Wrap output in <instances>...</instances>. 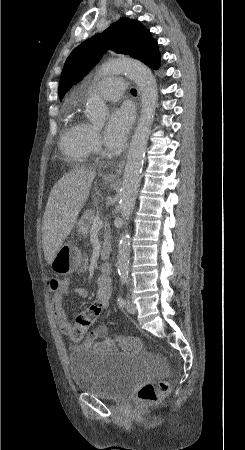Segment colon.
Instances as JSON below:
<instances>
[{
	"instance_id": "5ec220e1",
	"label": "colon",
	"mask_w": 245,
	"mask_h": 450,
	"mask_svg": "<svg viewBox=\"0 0 245 450\" xmlns=\"http://www.w3.org/2000/svg\"><path fill=\"white\" fill-rule=\"evenodd\" d=\"M65 283L64 278L54 276L47 280L46 287L49 292H55L61 290ZM99 313V306H91L80 312L70 332L71 340L81 342L87 330L95 323ZM117 342L124 350L129 352L137 351L140 347L139 342L132 337H118ZM170 388L171 383L168 380L160 381L157 385L147 383L138 390L137 399L143 404L154 405L170 391Z\"/></svg>"
}]
</instances>
